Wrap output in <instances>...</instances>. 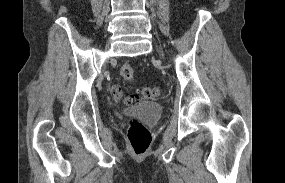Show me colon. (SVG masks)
<instances>
[{
	"mask_svg": "<svg viewBox=\"0 0 285 183\" xmlns=\"http://www.w3.org/2000/svg\"><path fill=\"white\" fill-rule=\"evenodd\" d=\"M120 74L123 79L132 81L134 79V67L130 64H123L120 68ZM161 94L158 87L141 89L136 95L126 99L127 104L137 102L139 99L155 100ZM128 141L132 152L135 155L144 154L151 143V133L149 129L137 120H131L128 127Z\"/></svg>",
	"mask_w": 285,
	"mask_h": 183,
	"instance_id": "1",
	"label": "colon"
}]
</instances>
